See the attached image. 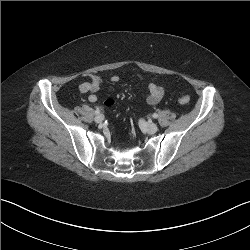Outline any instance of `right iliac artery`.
<instances>
[{
	"mask_svg": "<svg viewBox=\"0 0 250 250\" xmlns=\"http://www.w3.org/2000/svg\"><path fill=\"white\" fill-rule=\"evenodd\" d=\"M95 113H96V114H99V113H100V109L97 108V109L95 110Z\"/></svg>",
	"mask_w": 250,
	"mask_h": 250,
	"instance_id": "obj_1",
	"label": "right iliac artery"
}]
</instances>
